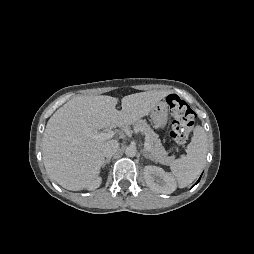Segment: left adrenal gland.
Here are the masks:
<instances>
[{
	"label": "left adrenal gland",
	"mask_w": 254,
	"mask_h": 254,
	"mask_svg": "<svg viewBox=\"0 0 254 254\" xmlns=\"http://www.w3.org/2000/svg\"><path fill=\"white\" fill-rule=\"evenodd\" d=\"M143 156L145 158H149L151 161L155 162V160L152 158V156H150V154H148V152L146 151V149H143Z\"/></svg>",
	"instance_id": "obj_1"
}]
</instances>
